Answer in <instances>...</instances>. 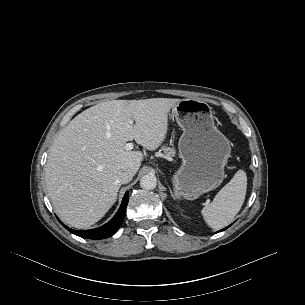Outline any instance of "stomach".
<instances>
[{
  "label": "stomach",
  "mask_w": 305,
  "mask_h": 305,
  "mask_svg": "<svg viewBox=\"0 0 305 305\" xmlns=\"http://www.w3.org/2000/svg\"><path fill=\"white\" fill-rule=\"evenodd\" d=\"M172 113L183 130L178 144L182 165L171 178L174 193L177 198L194 200L222 183L230 143L215 126L206 102L182 99Z\"/></svg>",
  "instance_id": "obj_1"
}]
</instances>
